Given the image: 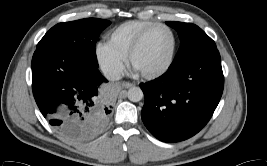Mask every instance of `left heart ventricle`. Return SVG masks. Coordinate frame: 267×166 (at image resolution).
<instances>
[{
  "mask_svg": "<svg viewBox=\"0 0 267 166\" xmlns=\"http://www.w3.org/2000/svg\"><path fill=\"white\" fill-rule=\"evenodd\" d=\"M172 36L166 29L150 33L132 60V66L140 73L154 72L169 60L172 50Z\"/></svg>",
  "mask_w": 267,
  "mask_h": 166,
  "instance_id": "left-heart-ventricle-1",
  "label": "left heart ventricle"
}]
</instances>
